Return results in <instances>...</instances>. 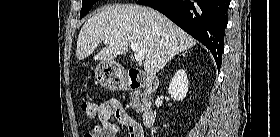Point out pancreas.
<instances>
[{
  "instance_id": "obj_1",
  "label": "pancreas",
  "mask_w": 280,
  "mask_h": 137,
  "mask_svg": "<svg viewBox=\"0 0 280 137\" xmlns=\"http://www.w3.org/2000/svg\"><path fill=\"white\" fill-rule=\"evenodd\" d=\"M140 96H142L141 93L134 92V93H132V95L130 97L131 105L136 108L137 112H142L149 105L147 99H143V103L141 104Z\"/></svg>"
}]
</instances>
